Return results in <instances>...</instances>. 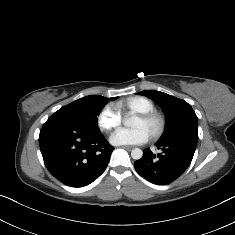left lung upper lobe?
Here are the masks:
<instances>
[{
    "instance_id": "obj_1",
    "label": "left lung upper lobe",
    "mask_w": 235,
    "mask_h": 235,
    "mask_svg": "<svg viewBox=\"0 0 235 235\" xmlns=\"http://www.w3.org/2000/svg\"><path fill=\"white\" fill-rule=\"evenodd\" d=\"M155 101L165 113V130L158 142H185L196 146L198 142V118L186 101L169 94L147 90L139 93Z\"/></svg>"
}]
</instances>
